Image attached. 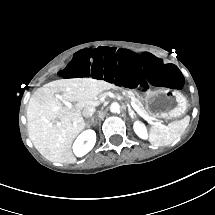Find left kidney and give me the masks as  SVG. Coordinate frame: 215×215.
<instances>
[{
  "label": "left kidney",
  "instance_id": "obj_1",
  "mask_svg": "<svg viewBox=\"0 0 215 215\" xmlns=\"http://www.w3.org/2000/svg\"><path fill=\"white\" fill-rule=\"evenodd\" d=\"M135 133L142 139H147V130L143 123L140 121H135L133 125Z\"/></svg>",
  "mask_w": 215,
  "mask_h": 215
}]
</instances>
